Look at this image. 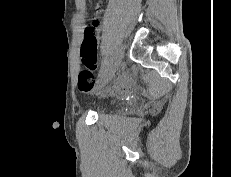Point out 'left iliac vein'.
Here are the masks:
<instances>
[{"label": "left iliac vein", "instance_id": "left-iliac-vein-1", "mask_svg": "<svg viewBox=\"0 0 231 177\" xmlns=\"http://www.w3.org/2000/svg\"><path fill=\"white\" fill-rule=\"evenodd\" d=\"M124 55V47L121 45L117 48L115 51L112 62L110 67H108V71H105V73L101 76L99 80L100 85H105L108 83L114 76L115 72L117 71Z\"/></svg>", "mask_w": 231, "mask_h": 177}]
</instances>
